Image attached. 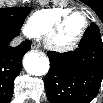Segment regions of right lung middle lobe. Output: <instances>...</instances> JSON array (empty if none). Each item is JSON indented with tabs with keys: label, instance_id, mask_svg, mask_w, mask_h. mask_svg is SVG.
Returning <instances> with one entry per match:
<instances>
[{
	"label": "right lung middle lobe",
	"instance_id": "1",
	"mask_svg": "<svg viewBox=\"0 0 103 103\" xmlns=\"http://www.w3.org/2000/svg\"><path fill=\"white\" fill-rule=\"evenodd\" d=\"M30 11V7L0 8V26L19 30Z\"/></svg>",
	"mask_w": 103,
	"mask_h": 103
}]
</instances>
